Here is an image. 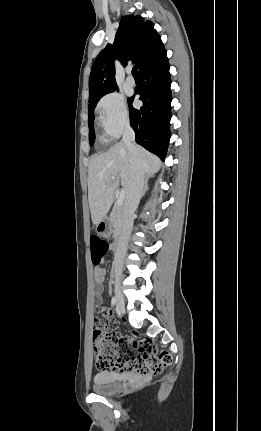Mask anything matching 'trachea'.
<instances>
[{
    "mask_svg": "<svg viewBox=\"0 0 261 431\" xmlns=\"http://www.w3.org/2000/svg\"><path fill=\"white\" fill-rule=\"evenodd\" d=\"M132 75L133 76H139L138 69H137L136 66H134L133 69H132Z\"/></svg>",
    "mask_w": 261,
    "mask_h": 431,
    "instance_id": "3493384b",
    "label": "trachea"
}]
</instances>
